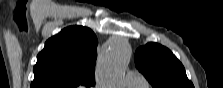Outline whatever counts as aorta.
I'll return each mask as SVG.
<instances>
[{"mask_svg": "<svg viewBox=\"0 0 223 88\" xmlns=\"http://www.w3.org/2000/svg\"><path fill=\"white\" fill-rule=\"evenodd\" d=\"M131 57V47L125 40H115L105 57L104 80L110 88H117L125 75Z\"/></svg>", "mask_w": 223, "mask_h": 88, "instance_id": "762f6f07", "label": "aorta"}]
</instances>
